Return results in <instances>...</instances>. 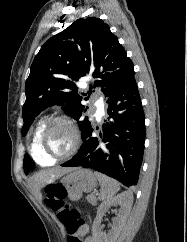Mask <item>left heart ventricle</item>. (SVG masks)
Instances as JSON below:
<instances>
[{"mask_svg": "<svg viewBox=\"0 0 187 242\" xmlns=\"http://www.w3.org/2000/svg\"><path fill=\"white\" fill-rule=\"evenodd\" d=\"M73 136L70 128L64 124H56L45 139V147L52 155L66 153L72 146Z\"/></svg>", "mask_w": 187, "mask_h": 242, "instance_id": "left-heart-ventricle-1", "label": "left heart ventricle"}]
</instances>
